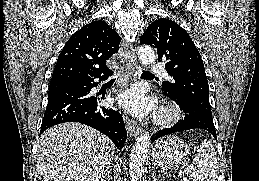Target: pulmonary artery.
Instances as JSON below:
<instances>
[{
	"mask_svg": "<svg viewBox=\"0 0 259 181\" xmlns=\"http://www.w3.org/2000/svg\"><path fill=\"white\" fill-rule=\"evenodd\" d=\"M151 71L153 73L162 74L167 76L168 78H171L170 76L167 75L165 68L162 65H151Z\"/></svg>",
	"mask_w": 259,
	"mask_h": 181,
	"instance_id": "pulmonary-artery-1",
	"label": "pulmonary artery"
}]
</instances>
